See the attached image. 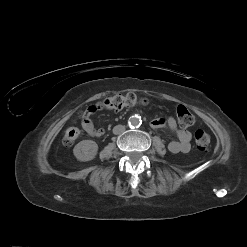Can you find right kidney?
Returning <instances> with one entry per match:
<instances>
[{
    "instance_id": "1",
    "label": "right kidney",
    "mask_w": 247,
    "mask_h": 247,
    "mask_svg": "<svg viewBox=\"0 0 247 247\" xmlns=\"http://www.w3.org/2000/svg\"><path fill=\"white\" fill-rule=\"evenodd\" d=\"M98 151V145L92 140H83L75 145L73 149L74 156L79 161H90L95 158Z\"/></svg>"
}]
</instances>
